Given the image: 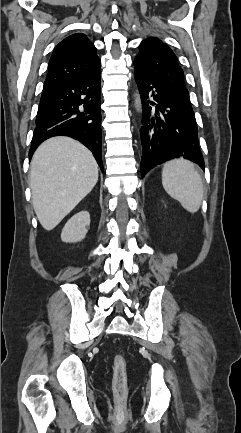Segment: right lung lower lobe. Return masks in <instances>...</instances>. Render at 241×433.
I'll return each mask as SVG.
<instances>
[{"label": "right lung lower lobe", "mask_w": 241, "mask_h": 433, "mask_svg": "<svg viewBox=\"0 0 241 433\" xmlns=\"http://www.w3.org/2000/svg\"><path fill=\"white\" fill-rule=\"evenodd\" d=\"M100 96V68L43 89L29 159L46 139L69 136L92 151L103 171Z\"/></svg>", "instance_id": "98d812e1"}]
</instances>
